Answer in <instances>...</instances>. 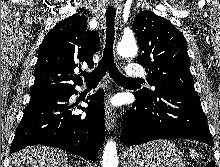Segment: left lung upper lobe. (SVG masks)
Masks as SVG:
<instances>
[{
    "mask_svg": "<svg viewBox=\"0 0 220 167\" xmlns=\"http://www.w3.org/2000/svg\"><path fill=\"white\" fill-rule=\"evenodd\" d=\"M133 27L140 48L137 62L146 68L147 81L155 87L138 92L145 97H154L169 87L196 92L183 34L168 20L147 10L136 16Z\"/></svg>",
    "mask_w": 220,
    "mask_h": 167,
    "instance_id": "1",
    "label": "left lung upper lobe"
}]
</instances>
